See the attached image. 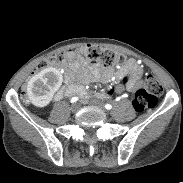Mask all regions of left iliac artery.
<instances>
[{
  "mask_svg": "<svg viewBox=\"0 0 183 183\" xmlns=\"http://www.w3.org/2000/svg\"><path fill=\"white\" fill-rule=\"evenodd\" d=\"M105 108H106L107 110H110V109H112V106H111L110 104H106V105H105Z\"/></svg>",
  "mask_w": 183,
  "mask_h": 183,
  "instance_id": "left-iliac-artery-1",
  "label": "left iliac artery"
}]
</instances>
